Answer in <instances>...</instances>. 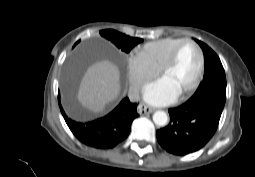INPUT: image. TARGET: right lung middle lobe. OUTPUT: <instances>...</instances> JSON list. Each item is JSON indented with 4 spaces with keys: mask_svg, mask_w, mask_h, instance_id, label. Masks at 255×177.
Masks as SVG:
<instances>
[{
    "mask_svg": "<svg viewBox=\"0 0 255 177\" xmlns=\"http://www.w3.org/2000/svg\"><path fill=\"white\" fill-rule=\"evenodd\" d=\"M100 35L126 53H129L134 46L143 41L140 38H133L112 29L102 30Z\"/></svg>",
    "mask_w": 255,
    "mask_h": 177,
    "instance_id": "obj_1",
    "label": "right lung middle lobe"
}]
</instances>
